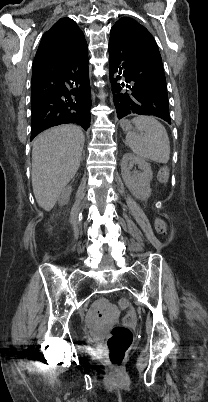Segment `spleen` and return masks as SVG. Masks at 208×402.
Segmentation results:
<instances>
[{
  "instance_id": "3e777b00",
  "label": "spleen",
  "mask_w": 208,
  "mask_h": 402,
  "mask_svg": "<svg viewBox=\"0 0 208 402\" xmlns=\"http://www.w3.org/2000/svg\"><path fill=\"white\" fill-rule=\"evenodd\" d=\"M132 122L136 130L144 134L129 132L126 136L127 146L144 160L167 164L170 158V142L164 126L152 116H137Z\"/></svg>"
}]
</instances>
